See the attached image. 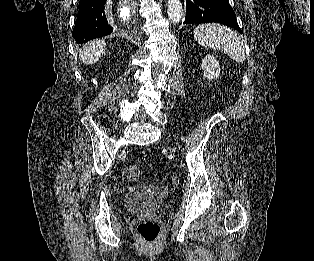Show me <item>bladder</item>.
I'll use <instances>...</instances> for the list:
<instances>
[{
    "label": "bladder",
    "mask_w": 314,
    "mask_h": 261,
    "mask_svg": "<svg viewBox=\"0 0 314 261\" xmlns=\"http://www.w3.org/2000/svg\"><path fill=\"white\" fill-rule=\"evenodd\" d=\"M164 198L158 186L137 184L125 195V207L132 212H157L164 206Z\"/></svg>",
    "instance_id": "obj_1"
}]
</instances>
